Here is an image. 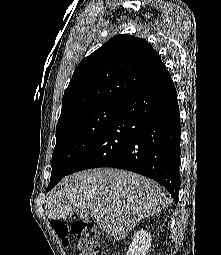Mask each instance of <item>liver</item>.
Listing matches in <instances>:
<instances>
[{"label":"liver","mask_w":221,"mask_h":255,"mask_svg":"<svg viewBox=\"0 0 221 255\" xmlns=\"http://www.w3.org/2000/svg\"><path fill=\"white\" fill-rule=\"evenodd\" d=\"M171 202L165 189L149 178L125 170L97 168L66 176L48 194L45 209L50 220L88 210L98 226L119 241L142 219Z\"/></svg>","instance_id":"liver-1"}]
</instances>
